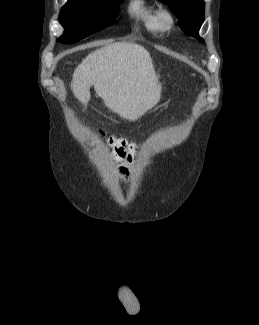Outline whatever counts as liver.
<instances>
[{
  "label": "liver",
  "mask_w": 259,
  "mask_h": 325,
  "mask_svg": "<svg viewBox=\"0 0 259 325\" xmlns=\"http://www.w3.org/2000/svg\"><path fill=\"white\" fill-rule=\"evenodd\" d=\"M91 86L111 111L129 121L138 120L160 100L150 53L134 43L109 44L86 56L71 82L74 96L85 107Z\"/></svg>",
  "instance_id": "obj_1"
}]
</instances>
